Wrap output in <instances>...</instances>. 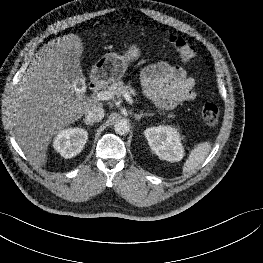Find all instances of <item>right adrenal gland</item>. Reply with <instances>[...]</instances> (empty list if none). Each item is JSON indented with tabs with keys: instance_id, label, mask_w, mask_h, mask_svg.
Here are the masks:
<instances>
[{
	"instance_id": "right-adrenal-gland-1",
	"label": "right adrenal gland",
	"mask_w": 263,
	"mask_h": 263,
	"mask_svg": "<svg viewBox=\"0 0 263 263\" xmlns=\"http://www.w3.org/2000/svg\"><path fill=\"white\" fill-rule=\"evenodd\" d=\"M83 122L88 126H93L92 122H88L86 119H83Z\"/></svg>"
}]
</instances>
